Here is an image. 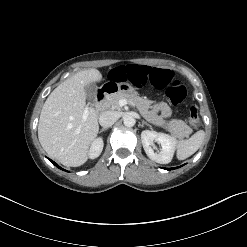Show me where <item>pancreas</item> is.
<instances>
[{
	"instance_id": "pancreas-1",
	"label": "pancreas",
	"mask_w": 247,
	"mask_h": 247,
	"mask_svg": "<svg viewBox=\"0 0 247 247\" xmlns=\"http://www.w3.org/2000/svg\"><path fill=\"white\" fill-rule=\"evenodd\" d=\"M122 99L135 105L146 120L153 121L154 123L163 127L172 135L178 138L188 137L189 134L192 132V129L182 120L172 119L169 122H165L161 117L152 119L149 108L151 107V104L153 102L139 97L137 94L118 92L116 94L108 96L106 102L107 105L112 109L119 110L121 108L119 105V101Z\"/></svg>"
}]
</instances>
